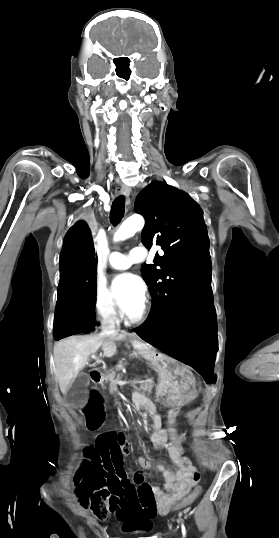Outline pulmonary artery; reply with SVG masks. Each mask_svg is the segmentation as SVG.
<instances>
[{
	"mask_svg": "<svg viewBox=\"0 0 279 538\" xmlns=\"http://www.w3.org/2000/svg\"><path fill=\"white\" fill-rule=\"evenodd\" d=\"M141 258L131 259L129 254L113 251L109 257V265L116 270H125L131 266L133 262H141Z\"/></svg>",
	"mask_w": 279,
	"mask_h": 538,
	"instance_id": "1",
	"label": "pulmonary artery"
}]
</instances>
